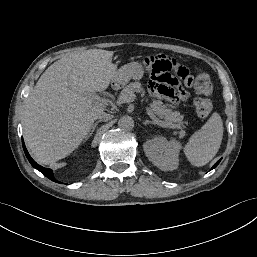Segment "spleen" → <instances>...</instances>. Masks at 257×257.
I'll return each instance as SVG.
<instances>
[{
  "label": "spleen",
  "instance_id": "obj_1",
  "mask_svg": "<svg viewBox=\"0 0 257 257\" xmlns=\"http://www.w3.org/2000/svg\"><path fill=\"white\" fill-rule=\"evenodd\" d=\"M223 138V122L218 113H213L207 122L196 131L184 147V153L194 166H204L218 152Z\"/></svg>",
  "mask_w": 257,
  "mask_h": 257
}]
</instances>
